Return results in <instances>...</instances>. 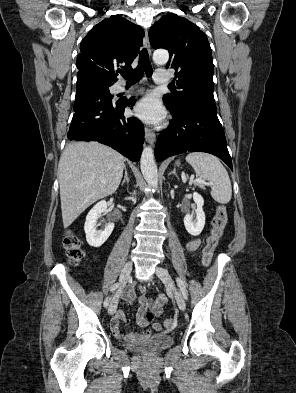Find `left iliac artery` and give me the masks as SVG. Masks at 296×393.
<instances>
[{"mask_svg": "<svg viewBox=\"0 0 296 393\" xmlns=\"http://www.w3.org/2000/svg\"><path fill=\"white\" fill-rule=\"evenodd\" d=\"M176 282H177L178 287L180 288V291H181L183 297L187 300L188 299V291H187L185 283L179 277L176 278Z\"/></svg>", "mask_w": 296, "mask_h": 393, "instance_id": "obj_1", "label": "left iliac artery"}]
</instances>
